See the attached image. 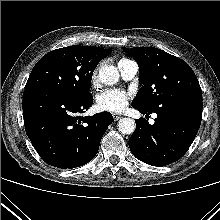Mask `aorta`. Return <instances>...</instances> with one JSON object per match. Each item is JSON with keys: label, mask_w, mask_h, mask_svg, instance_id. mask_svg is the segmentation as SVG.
Listing matches in <instances>:
<instances>
[{"label": "aorta", "mask_w": 220, "mask_h": 220, "mask_svg": "<svg viewBox=\"0 0 220 220\" xmlns=\"http://www.w3.org/2000/svg\"><path fill=\"white\" fill-rule=\"evenodd\" d=\"M98 77L105 85H113L119 80V72L113 65H104L100 68ZM136 124L131 118H122L118 122V129L122 134H132Z\"/></svg>", "instance_id": "aorta-1"}]
</instances>
